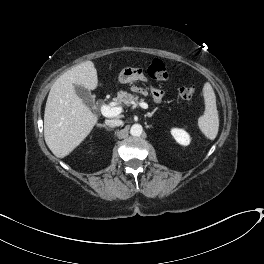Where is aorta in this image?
<instances>
[{
	"instance_id": "762f6f07",
	"label": "aorta",
	"mask_w": 264,
	"mask_h": 264,
	"mask_svg": "<svg viewBox=\"0 0 264 264\" xmlns=\"http://www.w3.org/2000/svg\"><path fill=\"white\" fill-rule=\"evenodd\" d=\"M143 132V128L140 124H134L131 126L130 134L132 136H140Z\"/></svg>"
}]
</instances>
